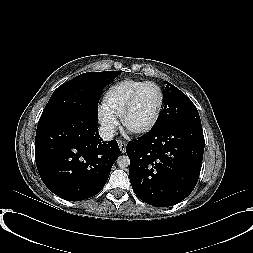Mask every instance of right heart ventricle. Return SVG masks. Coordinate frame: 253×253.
Masks as SVG:
<instances>
[{"mask_svg":"<svg viewBox=\"0 0 253 253\" xmlns=\"http://www.w3.org/2000/svg\"><path fill=\"white\" fill-rule=\"evenodd\" d=\"M143 82L145 81L124 79L112 84L104 93L103 107L116 116L121 115L129 97Z\"/></svg>","mask_w":253,"mask_h":253,"instance_id":"right-heart-ventricle-1","label":"right heart ventricle"}]
</instances>
